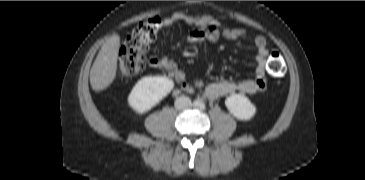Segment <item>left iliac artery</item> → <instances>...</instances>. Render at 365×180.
<instances>
[{
  "mask_svg": "<svg viewBox=\"0 0 365 180\" xmlns=\"http://www.w3.org/2000/svg\"><path fill=\"white\" fill-rule=\"evenodd\" d=\"M199 107H200L201 110H204L205 109V104L201 103Z\"/></svg>",
  "mask_w": 365,
  "mask_h": 180,
  "instance_id": "44dca946",
  "label": "left iliac artery"
}]
</instances>
